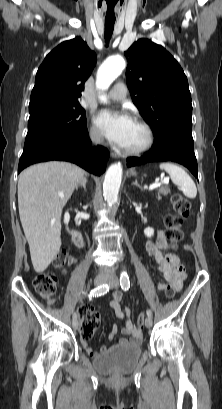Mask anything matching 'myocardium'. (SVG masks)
<instances>
[{"mask_svg": "<svg viewBox=\"0 0 222 409\" xmlns=\"http://www.w3.org/2000/svg\"><path fill=\"white\" fill-rule=\"evenodd\" d=\"M134 123L139 125L145 132L144 143L136 148H123L122 151L127 155L139 156L146 153L154 144L155 135L151 125L141 118H135Z\"/></svg>", "mask_w": 222, "mask_h": 409, "instance_id": "1", "label": "myocardium"}]
</instances>
